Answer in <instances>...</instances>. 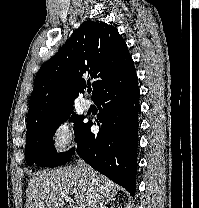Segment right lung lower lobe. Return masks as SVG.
I'll use <instances>...</instances> for the list:
<instances>
[{"label":"right lung lower lobe","instance_id":"98d812e1","mask_svg":"<svg viewBox=\"0 0 199 208\" xmlns=\"http://www.w3.org/2000/svg\"><path fill=\"white\" fill-rule=\"evenodd\" d=\"M139 96L136 74L102 92L94 100L99 108L95 122L99 132L93 134L89 122L77 144L80 157L132 196L136 191Z\"/></svg>","mask_w":199,"mask_h":208}]
</instances>
